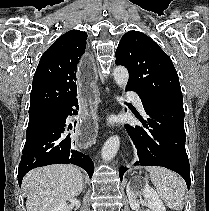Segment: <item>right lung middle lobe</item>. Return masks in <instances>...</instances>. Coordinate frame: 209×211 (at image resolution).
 I'll list each match as a JSON object with an SVG mask.
<instances>
[{"label": "right lung middle lobe", "mask_w": 209, "mask_h": 211, "mask_svg": "<svg viewBox=\"0 0 209 211\" xmlns=\"http://www.w3.org/2000/svg\"><path fill=\"white\" fill-rule=\"evenodd\" d=\"M55 109H44L35 112H29V123L27 127V137L32 135L45 121L53 114Z\"/></svg>", "instance_id": "dd1d6c3e"}]
</instances>
